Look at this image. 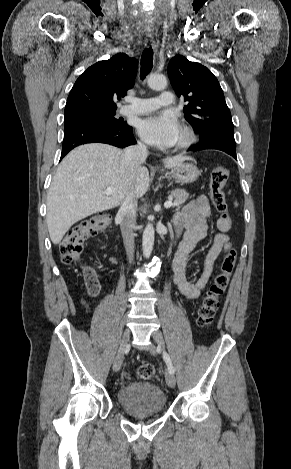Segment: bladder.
<instances>
[{
    "label": "bladder",
    "mask_w": 291,
    "mask_h": 469,
    "mask_svg": "<svg viewBox=\"0 0 291 469\" xmlns=\"http://www.w3.org/2000/svg\"><path fill=\"white\" fill-rule=\"evenodd\" d=\"M120 406L131 413H159L166 406V395L150 382H131L117 393Z\"/></svg>",
    "instance_id": "1"
}]
</instances>
